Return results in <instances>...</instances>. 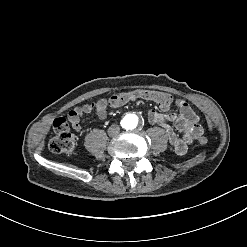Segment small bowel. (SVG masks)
<instances>
[{
	"mask_svg": "<svg viewBox=\"0 0 247 247\" xmlns=\"http://www.w3.org/2000/svg\"><path fill=\"white\" fill-rule=\"evenodd\" d=\"M111 105L108 98H101L93 103H86L75 107L68 114V122L72 129L80 132L82 129L81 118L84 115L95 113L99 119L104 120L107 117V108ZM178 112L168 113L171 108L158 111H149L147 119L150 124L159 125L166 130L170 145L175 153L184 156L188 152V147L195 139L202 134V128L198 124V116L191 106L182 99H176L173 103ZM174 125V128L171 126ZM181 133L179 136L176 131Z\"/></svg>",
	"mask_w": 247,
	"mask_h": 247,
	"instance_id": "c3829d8e",
	"label": "small bowel"
}]
</instances>
